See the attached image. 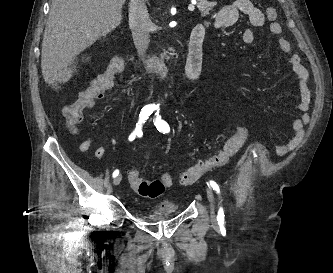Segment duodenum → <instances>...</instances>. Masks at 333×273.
<instances>
[{
  "label": "duodenum",
  "mask_w": 333,
  "mask_h": 273,
  "mask_svg": "<svg viewBox=\"0 0 333 273\" xmlns=\"http://www.w3.org/2000/svg\"><path fill=\"white\" fill-rule=\"evenodd\" d=\"M204 37L205 29L201 24L196 25L189 39L187 62L183 71L176 76L177 82L189 83L197 80L201 76ZM136 48L143 56L149 70L157 78L165 80L169 77V69L166 62L159 56L147 51V44L144 38L139 37L137 39Z\"/></svg>",
  "instance_id": "1"
}]
</instances>
